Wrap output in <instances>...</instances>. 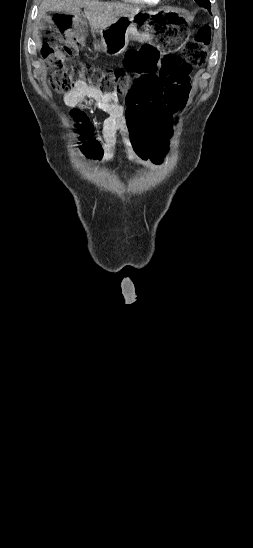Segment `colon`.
<instances>
[{
  "label": "colon",
  "instance_id": "colon-1",
  "mask_svg": "<svg viewBox=\"0 0 253 548\" xmlns=\"http://www.w3.org/2000/svg\"><path fill=\"white\" fill-rule=\"evenodd\" d=\"M54 24L59 39L42 50L52 70V89L68 93L78 81H84L104 93L122 95L136 157L152 159L154 165H159L165 153L162 142L176 134L174 114L186 106L192 85L190 73L206 61L208 29L201 28L180 55L152 60L157 54L145 45L127 53L122 69H103L75 60L78 48L83 45V28L76 14H57ZM76 114L81 116L80 112ZM83 144L88 157H98L100 144L88 128L83 133Z\"/></svg>",
  "mask_w": 253,
  "mask_h": 548
}]
</instances>
